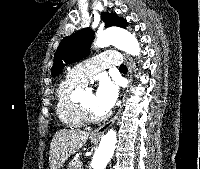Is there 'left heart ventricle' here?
<instances>
[{
  "instance_id": "obj_1",
  "label": "left heart ventricle",
  "mask_w": 200,
  "mask_h": 169,
  "mask_svg": "<svg viewBox=\"0 0 200 169\" xmlns=\"http://www.w3.org/2000/svg\"><path fill=\"white\" fill-rule=\"evenodd\" d=\"M83 102L86 103L97 115H103L102 112L98 109L94 92L87 93Z\"/></svg>"
}]
</instances>
